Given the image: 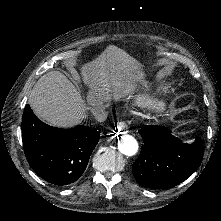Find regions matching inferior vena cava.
<instances>
[{"label":"inferior vena cava","instance_id":"1","mask_svg":"<svg viewBox=\"0 0 221 221\" xmlns=\"http://www.w3.org/2000/svg\"><path fill=\"white\" fill-rule=\"evenodd\" d=\"M104 108L105 107L103 104L92 107L93 114L98 119V121H103L107 118V113L105 112Z\"/></svg>","mask_w":221,"mask_h":221}]
</instances>
